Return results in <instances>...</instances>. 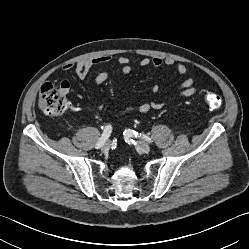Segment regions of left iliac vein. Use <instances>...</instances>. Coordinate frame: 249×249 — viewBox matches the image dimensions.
I'll list each match as a JSON object with an SVG mask.
<instances>
[{"label":"left iliac vein","instance_id":"1","mask_svg":"<svg viewBox=\"0 0 249 249\" xmlns=\"http://www.w3.org/2000/svg\"><path fill=\"white\" fill-rule=\"evenodd\" d=\"M136 149L141 153H149L150 146L143 141H139L136 145Z\"/></svg>","mask_w":249,"mask_h":249}]
</instances>
